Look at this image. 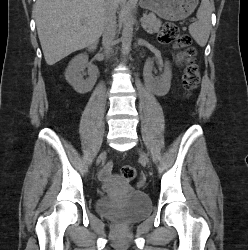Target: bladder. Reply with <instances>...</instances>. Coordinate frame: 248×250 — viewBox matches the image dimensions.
Wrapping results in <instances>:
<instances>
[{"mask_svg":"<svg viewBox=\"0 0 248 250\" xmlns=\"http://www.w3.org/2000/svg\"><path fill=\"white\" fill-rule=\"evenodd\" d=\"M151 200L144 193L130 191L122 198L100 197L96 202L99 215L132 223L148 216L151 212Z\"/></svg>","mask_w":248,"mask_h":250,"instance_id":"obj_1","label":"bladder"}]
</instances>
